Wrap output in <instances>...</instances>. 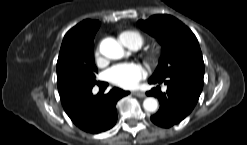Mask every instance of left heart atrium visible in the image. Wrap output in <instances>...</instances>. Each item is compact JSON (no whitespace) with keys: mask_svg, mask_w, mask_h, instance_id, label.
<instances>
[{"mask_svg":"<svg viewBox=\"0 0 247 145\" xmlns=\"http://www.w3.org/2000/svg\"><path fill=\"white\" fill-rule=\"evenodd\" d=\"M146 75L144 68L136 63L119 64L110 68L107 79L116 86L133 88Z\"/></svg>","mask_w":247,"mask_h":145,"instance_id":"left-heart-atrium-1","label":"left heart atrium"}]
</instances>
